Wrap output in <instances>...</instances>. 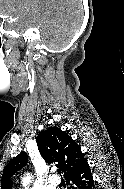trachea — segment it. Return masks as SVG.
<instances>
[{
    "label": "trachea",
    "instance_id": "3493384b",
    "mask_svg": "<svg viewBox=\"0 0 124 189\" xmlns=\"http://www.w3.org/2000/svg\"><path fill=\"white\" fill-rule=\"evenodd\" d=\"M57 172L60 174L61 173L60 169H58Z\"/></svg>",
    "mask_w": 124,
    "mask_h": 189
}]
</instances>
